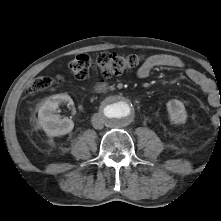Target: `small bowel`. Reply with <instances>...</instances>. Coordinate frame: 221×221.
Returning a JSON list of instances; mask_svg holds the SVG:
<instances>
[{"label":"small bowel","instance_id":"1","mask_svg":"<svg viewBox=\"0 0 221 221\" xmlns=\"http://www.w3.org/2000/svg\"><path fill=\"white\" fill-rule=\"evenodd\" d=\"M157 67L180 69L184 67V63L181 59L173 55L154 54L145 59L137 72V76L139 78H146ZM186 74L207 95L208 103L211 106L217 107L221 104V96L216 91L213 80L194 68H188Z\"/></svg>","mask_w":221,"mask_h":221}]
</instances>
